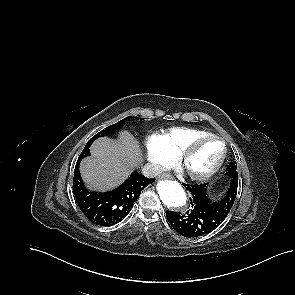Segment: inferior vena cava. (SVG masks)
<instances>
[{
    "label": "inferior vena cava",
    "instance_id": "602c4592",
    "mask_svg": "<svg viewBox=\"0 0 295 295\" xmlns=\"http://www.w3.org/2000/svg\"><path fill=\"white\" fill-rule=\"evenodd\" d=\"M144 176L153 178L162 173V167L156 164H146L142 169Z\"/></svg>",
    "mask_w": 295,
    "mask_h": 295
}]
</instances>
